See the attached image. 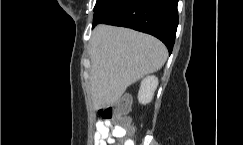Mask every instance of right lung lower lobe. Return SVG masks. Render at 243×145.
<instances>
[{
  "label": "right lung lower lobe",
  "mask_w": 243,
  "mask_h": 145,
  "mask_svg": "<svg viewBox=\"0 0 243 145\" xmlns=\"http://www.w3.org/2000/svg\"><path fill=\"white\" fill-rule=\"evenodd\" d=\"M178 0H97L92 28L99 23L132 28L160 39L172 52Z\"/></svg>",
  "instance_id": "98d812e1"
}]
</instances>
